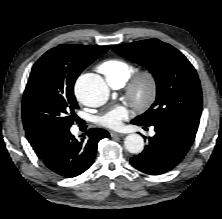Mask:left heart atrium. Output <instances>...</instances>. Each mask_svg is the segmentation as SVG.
Returning a JSON list of instances; mask_svg holds the SVG:
<instances>
[{
  "mask_svg": "<svg viewBox=\"0 0 222 219\" xmlns=\"http://www.w3.org/2000/svg\"><path fill=\"white\" fill-rule=\"evenodd\" d=\"M129 117L128 109L123 105H118L97 118L98 124L110 129H120L123 121Z\"/></svg>",
  "mask_w": 222,
  "mask_h": 219,
  "instance_id": "left-heart-atrium-1",
  "label": "left heart atrium"
}]
</instances>
